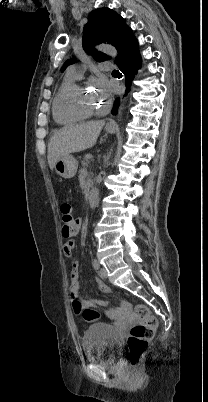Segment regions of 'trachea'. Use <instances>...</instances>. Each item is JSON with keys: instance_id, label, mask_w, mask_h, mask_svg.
Instances as JSON below:
<instances>
[{"instance_id": "1", "label": "trachea", "mask_w": 208, "mask_h": 402, "mask_svg": "<svg viewBox=\"0 0 208 402\" xmlns=\"http://www.w3.org/2000/svg\"><path fill=\"white\" fill-rule=\"evenodd\" d=\"M113 72H118V70H113Z\"/></svg>"}]
</instances>
